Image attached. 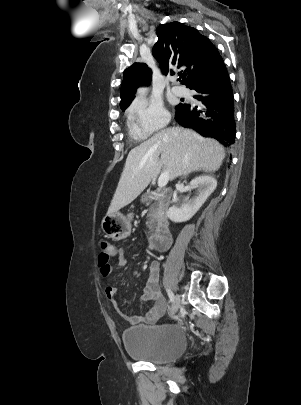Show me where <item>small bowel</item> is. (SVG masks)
I'll list each match as a JSON object with an SVG mask.
<instances>
[{"instance_id":"1","label":"small bowel","mask_w":301,"mask_h":405,"mask_svg":"<svg viewBox=\"0 0 301 405\" xmlns=\"http://www.w3.org/2000/svg\"><path fill=\"white\" fill-rule=\"evenodd\" d=\"M114 257H117L118 264L120 266H125L127 264L123 250L110 247L107 256H99V270L103 278H107L110 275L112 271L110 259ZM147 271L148 275L143 294L141 296L142 304H150L146 313L143 315H133L128 314L122 309L118 308L119 314L131 324H154L164 315L166 311L167 301L159 289V262L156 260L150 262ZM105 296L117 307L116 293L112 287L105 288Z\"/></svg>"}]
</instances>
